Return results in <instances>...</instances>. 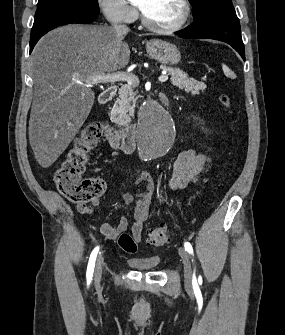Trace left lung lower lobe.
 Segmentation results:
<instances>
[{"label":"left lung lower lobe","mask_w":285,"mask_h":335,"mask_svg":"<svg viewBox=\"0 0 285 335\" xmlns=\"http://www.w3.org/2000/svg\"><path fill=\"white\" fill-rule=\"evenodd\" d=\"M194 22L179 37L189 39H215L230 44L245 60L241 28L234 8H214L194 18Z\"/></svg>","instance_id":"left-lung-lower-lobe-1"}]
</instances>
